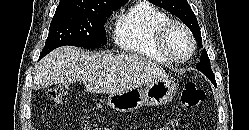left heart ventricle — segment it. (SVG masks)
<instances>
[{"label":"left heart ventricle","mask_w":249,"mask_h":130,"mask_svg":"<svg viewBox=\"0 0 249 130\" xmlns=\"http://www.w3.org/2000/svg\"><path fill=\"white\" fill-rule=\"evenodd\" d=\"M169 49L178 58H185L191 51V43L187 35L179 28H175L168 41Z\"/></svg>","instance_id":"1"}]
</instances>
